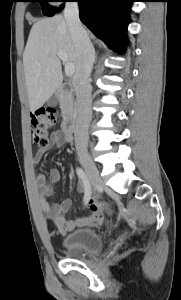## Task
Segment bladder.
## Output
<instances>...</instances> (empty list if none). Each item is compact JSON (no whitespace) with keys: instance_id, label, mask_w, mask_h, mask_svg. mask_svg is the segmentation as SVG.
Instances as JSON below:
<instances>
[{"instance_id":"obj_1","label":"bladder","mask_w":181,"mask_h":300,"mask_svg":"<svg viewBox=\"0 0 181 300\" xmlns=\"http://www.w3.org/2000/svg\"><path fill=\"white\" fill-rule=\"evenodd\" d=\"M62 244L67 254L76 256L99 252L102 249L103 241L97 231L84 228L67 233Z\"/></svg>"}]
</instances>
